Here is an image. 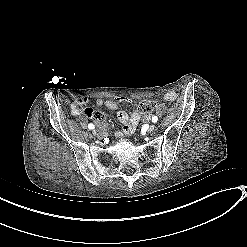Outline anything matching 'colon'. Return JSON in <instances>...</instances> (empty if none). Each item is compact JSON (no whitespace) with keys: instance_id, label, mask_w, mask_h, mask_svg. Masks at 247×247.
Instances as JSON below:
<instances>
[{"instance_id":"5ec220e1","label":"colon","mask_w":247,"mask_h":247,"mask_svg":"<svg viewBox=\"0 0 247 247\" xmlns=\"http://www.w3.org/2000/svg\"><path fill=\"white\" fill-rule=\"evenodd\" d=\"M138 108L141 113H151L158 108V103L151 100H143L139 102Z\"/></svg>"}]
</instances>
